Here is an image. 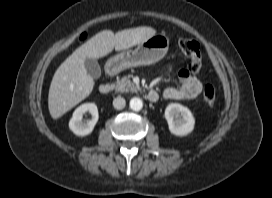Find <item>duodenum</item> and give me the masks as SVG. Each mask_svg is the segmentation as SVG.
I'll list each match as a JSON object with an SVG mask.
<instances>
[{
  "instance_id": "410a0bca",
  "label": "duodenum",
  "mask_w": 272,
  "mask_h": 198,
  "mask_svg": "<svg viewBox=\"0 0 272 198\" xmlns=\"http://www.w3.org/2000/svg\"><path fill=\"white\" fill-rule=\"evenodd\" d=\"M107 72L110 75H113L115 73V70L110 66V67H108ZM111 90H112V86L110 84H102L99 87V93L102 94V95L109 94L111 92ZM147 99L150 102H155L158 99V95H157V93L155 91L152 90V91L148 92Z\"/></svg>"
}]
</instances>
